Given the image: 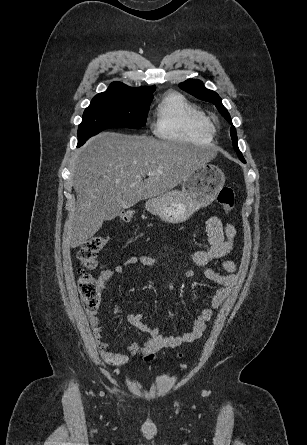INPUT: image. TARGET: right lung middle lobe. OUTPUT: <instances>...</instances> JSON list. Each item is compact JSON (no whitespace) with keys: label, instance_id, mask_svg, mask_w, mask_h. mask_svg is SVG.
<instances>
[{"label":"right lung middle lobe","instance_id":"right-lung-middle-lobe-1","mask_svg":"<svg viewBox=\"0 0 307 445\" xmlns=\"http://www.w3.org/2000/svg\"><path fill=\"white\" fill-rule=\"evenodd\" d=\"M151 100H140L112 95H96L85 109L78 128V141L108 128L137 129L146 124Z\"/></svg>","mask_w":307,"mask_h":445}]
</instances>
